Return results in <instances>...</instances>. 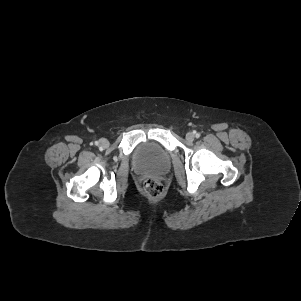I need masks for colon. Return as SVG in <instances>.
<instances>
[{
    "mask_svg": "<svg viewBox=\"0 0 301 301\" xmlns=\"http://www.w3.org/2000/svg\"><path fill=\"white\" fill-rule=\"evenodd\" d=\"M145 194L151 198H158L163 194L164 186L156 178H148L143 183Z\"/></svg>",
    "mask_w": 301,
    "mask_h": 301,
    "instance_id": "5ec220e1",
    "label": "colon"
}]
</instances>
